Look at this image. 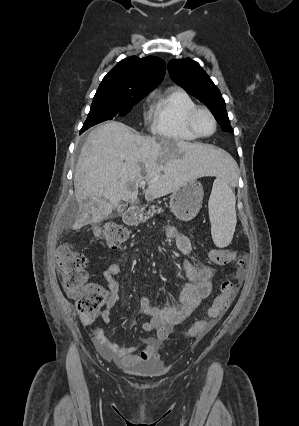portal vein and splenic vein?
<instances>
[{
    "label": "portal vein and splenic vein",
    "mask_w": 299,
    "mask_h": 426,
    "mask_svg": "<svg viewBox=\"0 0 299 426\" xmlns=\"http://www.w3.org/2000/svg\"><path fill=\"white\" fill-rule=\"evenodd\" d=\"M140 186H145L146 185V181H144V180H142V181H140Z\"/></svg>",
    "instance_id": "obj_1"
}]
</instances>
